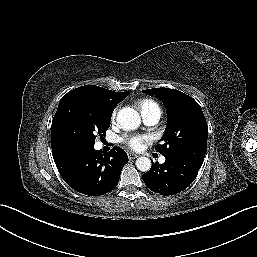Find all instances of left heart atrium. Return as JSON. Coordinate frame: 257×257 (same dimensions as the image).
Returning <instances> with one entry per match:
<instances>
[{"instance_id":"39dd6f15","label":"left heart atrium","mask_w":257,"mask_h":257,"mask_svg":"<svg viewBox=\"0 0 257 257\" xmlns=\"http://www.w3.org/2000/svg\"><path fill=\"white\" fill-rule=\"evenodd\" d=\"M151 137L145 134H135L124 136L122 141L131 149L140 150L144 147L145 143L149 142Z\"/></svg>"}]
</instances>
